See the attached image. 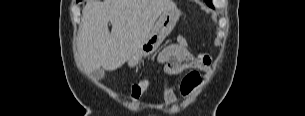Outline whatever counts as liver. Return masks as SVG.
<instances>
[{
	"label": "liver",
	"mask_w": 305,
	"mask_h": 116,
	"mask_svg": "<svg viewBox=\"0 0 305 116\" xmlns=\"http://www.w3.org/2000/svg\"><path fill=\"white\" fill-rule=\"evenodd\" d=\"M176 8L173 0H89L79 26V68L85 74L100 67L108 71L120 68L145 41L161 14Z\"/></svg>",
	"instance_id": "1"
}]
</instances>
